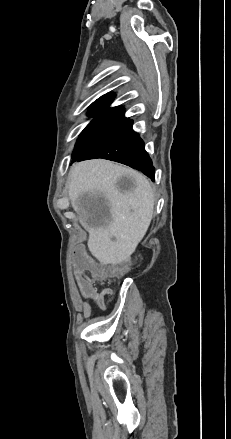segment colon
I'll return each mask as SVG.
<instances>
[{"instance_id": "colon-1", "label": "colon", "mask_w": 231, "mask_h": 439, "mask_svg": "<svg viewBox=\"0 0 231 439\" xmlns=\"http://www.w3.org/2000/svg\"><path fill=\"white\" fill-rule=\"evenodd\" d=\"M75 254L76 255L73 257L75 275L82 295L87 296L88 299H92V304L99 306L101 305L102 300L101 298L96 297L97 294L94 290V280H101L106 276L122 275L126 271L127 266L120 265L105 270L96 264L94 259L85 257L87 254V248H84L82 245L76 246Z\"/></svg>"}]
</instances>
